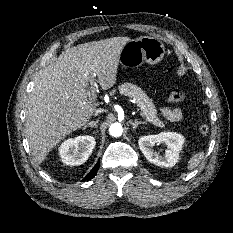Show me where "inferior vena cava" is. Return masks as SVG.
Listing matches in <instances>:
<instances>
[{
  "mask_svg": "<svg viewBox=\"0 0 233 233\" xmlns=\"http://www.w3.org/2000/svg\"><path fill=\"white\" fill-rule=\"evenodd\" d=\"M103 111H104V109L98 108V109L95 110L94 115L96 116V115H98L99 113H101V112H103Z\"/></svg>",
  "mask_w": 233,
  "mask_h": 233,
  "instance_id": "inferior-vena-cava-1",
  "label": "inferior vena cava"
}]
</instances>
